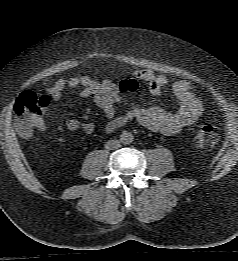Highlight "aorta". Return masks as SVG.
I'll return each mask as SVG.
<instances>
[{"label": "aorta", "mask_w": 238, "mask_h": 261, "mask_svg": "<svg viewBox=\"0 0 238 261\" xmlns=\"http://www.w3.org/2000/svg\"><path fill=\"white\" fill-rule=\"evenodd\" d=\"M123 144H130L133 141V135L130 132L124 131L120 138Z\"/></svg>", "instance_id": "aorta-1"}]
</instances>
